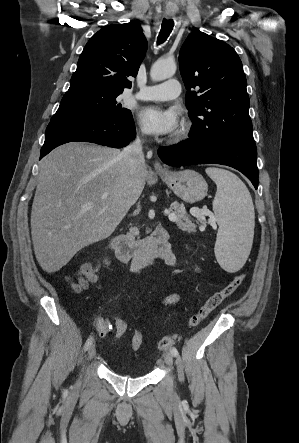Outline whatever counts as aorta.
Listing matches in <instances>:
<instances>
[{
    "mask_svg": "<svg viewBox=\"0 0 299 443\" xmlns=\"http://www.w3.org/2000/svg\"><path fill=\"white\" fill-rule=\"evenodd\" d=\"M176 69V63L173 60L159 59L152 65L150 77L153 81H162L172 77Z\"/></svg>",
    "mask_w": 299,
    "mask_h": 443,
    "instance_id": "1",
    "label": "aorta"
}]
</instances>
